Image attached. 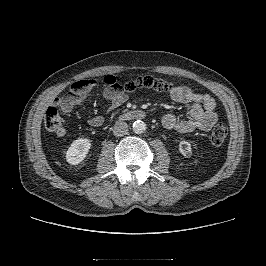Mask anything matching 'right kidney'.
Listing matches in <instances>:
<instances>
[{
  "mask_svg": "<svg viewBox=\"0 0 266 266\" xmlns=\"http://www.w3.org/2000/svg\"><path fill=\"white\" fill-rule=\"evenodd\" d=\"M91 142L87 138H78L74 140L66 152V160L71 165H77L82 162L88 154Z\"/></svg>",
  "mask_w": 266,
  "mask_h": 266,
  "instance_id": "obj_1",
  "label": "right kidney"
}]
</instances>
